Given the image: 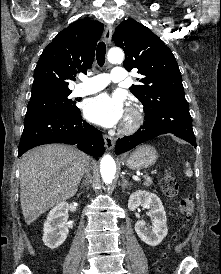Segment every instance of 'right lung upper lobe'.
<instances>
[{"mask_svg":"<svg viewBox=\"0 0 221 274\" xmlns=\"http://www.w3.org/2000/svg\"><path fill=\"white\" fill-rule=\"evenodd\" d=\"M103 28L98 21L80 19L62 30L39 58L30 100L71 93L69 81L92 65Z\"/></svg>","mask_w":221,"mask_h":274,"instance_id":"obj_1","label":"right lung upper lobe"}]
</instances>
